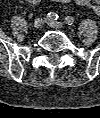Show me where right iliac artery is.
I'll return each mask as SVG.
<instances>
[{
  "label": "right iliac artery",
  "mask_w": 100,
  "mask_h": 118,
  "mask_svg": "<svg viewBox=\"0 0 100 118\" xmlns=\"http://www.w3.org/2000/svg\"><path fill=\"white\" fill-rule=\"evenodd\" d=\"M47 19L48 20H57L58 19V14L57 13H55V12H49L48 14H47Z\"/></svg>",
  "instance_id": "1"
}]
</instances>
